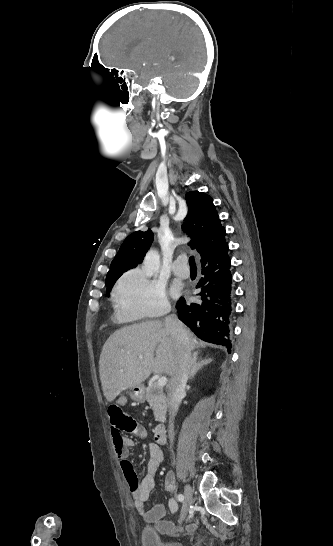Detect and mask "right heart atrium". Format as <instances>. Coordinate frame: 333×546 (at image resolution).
Returning <instances> with one entry per match:
<instances>
[{
	"label": "right heart atrium",
	"mask_w": 333,
	"mask_h": 546,
	"mask_svg": "<svg viewBox=\"0 0 333 546\" xmlns=\"http://www.w3.org/2000/svg\"><path fill=\"white\" fill-rule=\"evenodd\" d=\"M114 296L117 316L124 322L163 317L170 310L164 286L138 268L118 280Z\"/></svg>",
	"instance_id": "d8ad5b80"
}]
</instances>
